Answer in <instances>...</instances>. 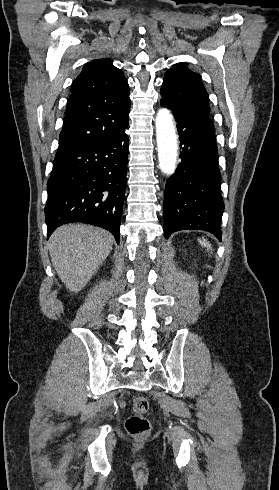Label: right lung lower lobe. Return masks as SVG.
Listing matches in <instances>:
<instances>
[{"label": "right lung lower lobe", "mask_w": 279, "mask_h": 490, "mask_svg": "<svg viewBox=\"0 0 279 490\" xmlns=\"http://www.w3.org/2000/svg\"><path fill=\"white\" fill-rule=\"evenodd\" d=\"M127 126L93 144L55 156L47 182L48 237L63 224L83 222L110 231L119 244L128 161Z\"/></svg>", "instance_id": "98d812e1"}]
</instances>
